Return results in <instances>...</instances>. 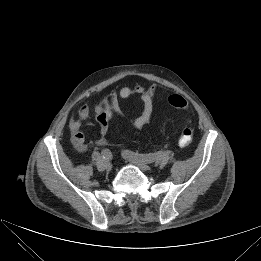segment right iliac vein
<instances>
[{"mask_svg": "<svg viewBox=\"0 0 261 261\" xmlns=\"http://www.w3.org/2000/svg\"><path fill=\"white\" fill-rule=\"evenodd\" d=\"M104 167H105V169L106 170H111L112 169V167H113V164H112V162L111 161H105V164H104Z\"/></svg>", "mask_w": 261, "mask_h": 261, "instance_id": "obj_1", "label": "right iliac vein"}]
</instances>
